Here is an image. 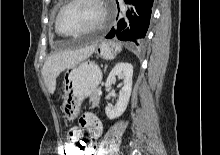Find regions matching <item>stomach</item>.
<instances>
[{"mask_svg": "<svg viewBox=\"0 0 220 155\" xmlns=\"http://www.w3.org/2000/svg\"><path fill=\"white\" fill-rule=\"evenodd\" d=\"M120 49L116 43L102 42L96 50L102 57L113 59ZM101 79L102 72L94 62L84 61L67 71L61 106L65 120L72 121L78 116L83 100L95 92Z\"/></svg>", "mask_w": 220, "mask_h": 155, "instance_id": "1", "label": "stomach"}]
</instances>
